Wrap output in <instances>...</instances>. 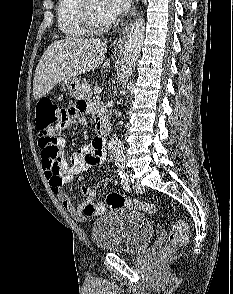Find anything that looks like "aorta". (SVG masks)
<instances>
[{
	"label": "aorta",
	"instance_id": "aorta-1",
	"mask_svg": "<svg viewBox=\"0 0 233 294\" xmlns=\"http://www.w3.org/2000/svg\"><path fill=\"white\" fill-rule=\"evenodd\" d=\"M145 36V20L143 16H138L128 31L124 51L122 56V65L120 69V80L128 81L131 77L136 61L141 51ZM109 148L114 156L116 165L123 166L125 164V153L122 142L113 137L109 141Z\"/></svg>",
	"mask_w": 233,
	"mask_h": 294
}]
</instances>
